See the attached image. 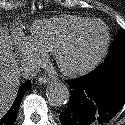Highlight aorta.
<instances>
[{
	"instance_id": "obj_1",
	"label": "aorta",
	"mask_w": 125,
	"mask_h": 125,
	"mask_svg": "<svg viewBox=\"0 0 125 125\" xmlns=\"http://www.w3.org/2000/svg\"><path fill=\"white\" fill-rule=\"evenodd\" d=\"M46 96L51 106H63L70 99V91L68 87L61 82H52L47 90Z\"/></svg>"
}]
</instances>
